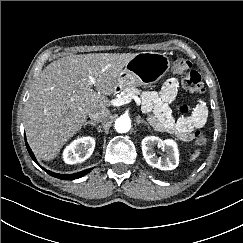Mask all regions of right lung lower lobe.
<instances>
[{
    "label": "right lung lower lobe",
    "mask_w": 243,
    "mask_h": 243,
    "mask_svg": "<svg viewBox=\"0 0 243 243\" xmlns=\"http://www.w3.org/2000/svg\"><path fill=\"white\" fill-rule=\"evenodd\" d=\"M26 143V147H27V150L31 156V158L37 163L36 161V158L33 154V152L31 151L28 143L25 141ZM44 169V168H43ZM49 175L53 176V177H56V178H59V179H63V180H73V179H77V178H80L82 176H84L85 174H87L88 172L91 171V169H87V170H84L82 172H79V173H75V174H67V175H63V174H57V173H53L49 170H46L44 169Z\"/></svg>",
    "instance_id": "right-lung-lower-lobe-1"
}]
</instances>
